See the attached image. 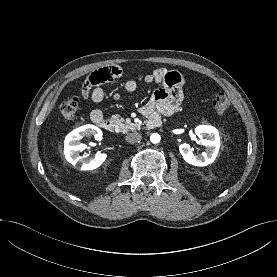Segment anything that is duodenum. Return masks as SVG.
Masks as SVG:
<instances>
[{
	"mask_svg": "<svg viewBox=\"0 0 277 277\" xmlns=\"http://www.w3.org/2000/svg\"><path fill=\"white\" fill-rule=\"evenodd\" d=\"M95 124L98 127H100L101 129L106 130V131L112 132L115 129L114 123L111 120H108V119H104V118L98 119L95 122ZM160 125H161L160 116L154 114V115H150L148 117L147 127L149 129H153V128L159 127Z\"/></svg>",
	"mask_w": 277,
	"mask_h": 277,
	"instance_id": "duodenum-1",
	"label": "duodenum"
}]
</instances>
